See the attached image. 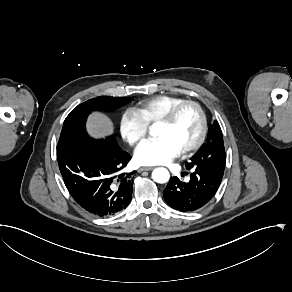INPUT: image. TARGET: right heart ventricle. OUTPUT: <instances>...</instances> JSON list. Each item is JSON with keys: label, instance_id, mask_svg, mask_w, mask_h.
Wrapping results in <instances>:
<instances>
[{"label": "right heart ventricle", "instance_id": "1", "mask_svg": "<svg viewBox=\"0 0 292 292\" xmlns=\"http://www.w3.org/2000/svg\"><path fill=\"white\" fill-rule=\"evenodd\" d=\"M185 100L175 94H161L139 101L135 110L146 124L153 125L172 105Z\"/></svg>", "mask_w": 292, "mask_h": 292}]
</instances>
